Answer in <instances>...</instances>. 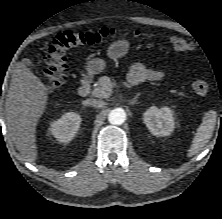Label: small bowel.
Returning <instances> with one entry per match:
<instances>
[{"instance_id":"c3829d8e","label":"small bowel","mask_w":222,"mask_h":219,"mask_svg":"<svg viewBox=\"0 0 222 219\" xmlns=\"http://www.w3.org/2000/svg\"><path fill=\"white\" fill-rule=\"evenodd\" d=\"M164 72L148 68L142 62L134 63L128 72V81L132 85H138L145 81H156L162 79Z\"/></svg>"}]
</instances>
